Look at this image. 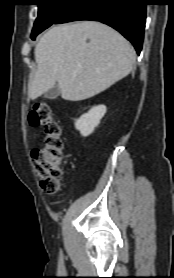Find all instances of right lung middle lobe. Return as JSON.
I'll return each mask as SVG.
<instances>
[{
    "mask_svg": "<svg viewBox=\"0 0 174 278\" xmlns=\"http://www.w3.org/2000/svg\"><path fill=\"white\" fill-rule=\"evenodd\" d=\"M39 6L38 17L34 23L31 38L41 33L43 30L54 24L65 9L74 0H35Z\"/></svg>",
    "mask_w": 174,
    "mask_h": 278,
    "instance_id": "dd1d6c3e",
    "label": "right lung middle lobe"
}]
</instances>
